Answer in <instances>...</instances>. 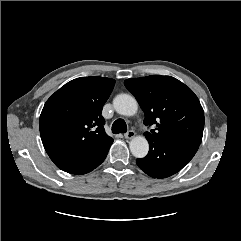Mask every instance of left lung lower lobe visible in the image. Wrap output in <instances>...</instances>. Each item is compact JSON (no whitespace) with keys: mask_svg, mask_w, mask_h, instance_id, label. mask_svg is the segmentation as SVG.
<instances>
[{"mask_svg":"<svg viewBox=\"0 0 241 241\" xmlns=\"http://www.w3.org/2000/svg\"><path fill=\"white\" fill-rule=\"evenodd\" d=\"M150 149L146 157L136 163L146 174L153 178H166L180 171L195 155L198 145L165 141L146 137Z\"/></svg>","mask_w":241,"mask_h":241,"instance_id":"0a47b994","label":"left lung lower lobe"}]
</instances>
